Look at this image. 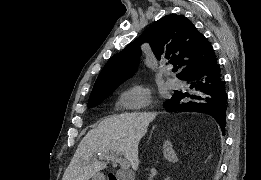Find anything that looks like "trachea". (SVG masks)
Instances as JSON below:
<instances>
[{"label": "trachea", "instance_id": "trachea-1", "mask_svg": "<svg viewBox=\"0 0 261 180\" xmlns=\"http://www.w3.org/2000/svg\"><path fill=\"white\" fill-rule=\"evenodd\" d=\"M173 71L176 72V71H177V67H174V68H173Z\"/></svg>", "mask_w": 261, "mask_h": 180}]
</instances>
